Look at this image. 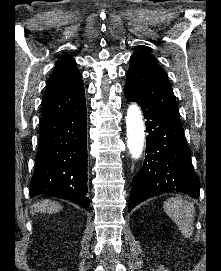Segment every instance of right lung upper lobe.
<instances>
[{
	"mask_svg": "<svg viewBox=\"0 0 221 271\" xmlns=\"http://www.w3.org/2000/svg\"><path fill=\"white\" fill-rule=\"evenodd\" d=\"M85 103L82 76L71 56L61 58L46 84L42 100V117L45 119L74 110Z\"/></svg>",
	"mask_w": 221,
	"mask_h": 271,
	"instance_id": "right-lung-upper-lobe-1",
	"label": "right lung upper lobe"
}]
</instances>
